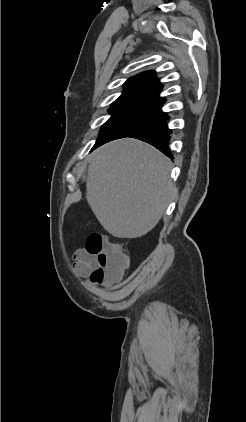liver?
Segmentation results:
<instances>
[{"mask_svg":"<svg viewBox=\"0 0 246 422\" xmlns=\"http://www.w3.org/2000/svg\"><path fill=\"white\" fill-rule=\"evenodd\" d=\"M171 161L132 138L109 142L90 156L86 199L103 228L118 238H138L164 214L175 186Z\"/></svg>","mask_w":246,"mask_h":422,"instance_id":"6515ba94","label":"liver"}]
</instances>
